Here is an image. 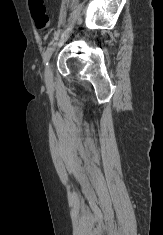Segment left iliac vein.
I'll list each match as a JSON object with an SVG mask.
<instances>
[{
	"label": "left iliac vein",
	"instance_id": "obj_1",
	"mask_svg": "<svg viewBox=\"0 0 163 235\" xmlns=\"http://www.w3.org/2000/svg\"><path fill=\"white\" fill-rule=\"evenodd\" d=\"M45 78L48 83H51L53 80V69H52V63L49 62L46 66V71H45Z\"/></svg>",
	"mask_w": 163,
	"mask_h": 235
}]
</instances>
